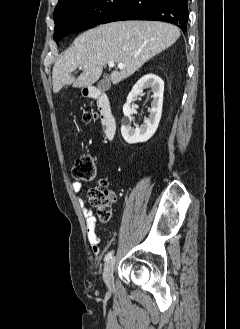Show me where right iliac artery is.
Instances as JSON below:
<instances>
[{"label": "right iliac artery", "mask_w": 240, "mask_h": 329, "mask_svg": "<svg viewBox=\"0 0 240 329\" xmlns=\"http://www.w3.org/2000/svg\"><path fill=\"white\" fill-rule=\"evenodd\" d=\"M114 251H110L104 258L105 261H109L110 259H112Z\"/></svg>", "instance_id": "right-iliac-artery-1"}]
</instances>
